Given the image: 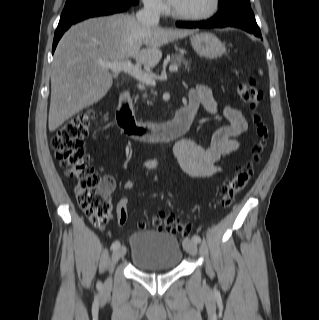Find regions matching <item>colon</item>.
Here are the masks:
<instances>
[{"instance_id": "5ec220e1", "label": "colon", "mask_w": 319, "mask_h": 320, "mask_svg": "<svg viewBox=\"0 0 319 320\" xmlns=\"http://www.w3.org/2000/svg\"><path fill=\"white\" fill-rule=\"evenodd\" d=\"M237 93L252 109L257 108L263 97L254 79L241 81L237 85ZM96 116V112L86 111L70 118L57 130L51 146L58 160L77 181L75 192L79 206L93 225L102 226L111 219L110 193L114 190V183L109 176H101L95 171L83 149V141L89 135L91 122ZM254 121L258 140L251 147L250 159L240 165L234 175L223 184L220 198L224 206H230L235 195L248 184L253 166L264 151L268 129L260 116H256ZM127 218L128 213H118L120 225H124ZM152 225L156 229L178 234L183 238L190 235L189 225L173 214L154 216ZM144 226V222L139 223V227Z\"/></svg>"}]
</instances>
